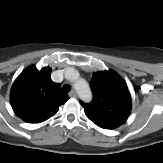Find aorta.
<instances>
[{
  "mask_svg": "<svg viewBox=\"0 0 163 163\" xmlns=\"http://www.w3.org/2000/svg\"><path fill=\"white\" fill-rule=\"evenodd\" d=\"M71 74V80L73 81L74 88L76 89L80 99L85 102H89L92 99V92L89 87V84L82 78L76 77V71L70 69L67 71V74Z\"/></svg>",
  "mask_w": 163,
  "mask_h": 163,
  "instance_id": "obj_1",
  "label": "aorta"
}]
</instances>
